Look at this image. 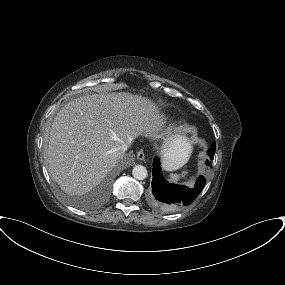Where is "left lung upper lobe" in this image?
Wrapping results in <instances>:
<instances>
[{
	"label": "left lung upper lobe",
	"instance_id": "obj_1",
	"mask_svg": "<svg viewBox=\"0 0 285 285\" xmlns=\"http://www.w3.org/2000/svg\"><path fill=\"white\" fill-rule=\"evenodd\" d=\"M208 153H209L210 159L212 160L213 156L210 155V149L208 150ZM207 164H211V162L209 160H207Z\"/></svg>",
	"mask_w": 285,
	"mask_h": 285
}]
</instances>
